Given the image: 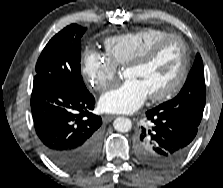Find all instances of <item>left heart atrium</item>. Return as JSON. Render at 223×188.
I'll list each match as a JSON object with an SVG mask.
<instances>
[{
    "label": "left heart atrium",
    "mask_w": 223,
    "mask_h": 188,
    "mask_svg": "<svg viewBox=\"0 0 223 188\" xmlns=\"http://www.w3.org/2000/svg\"><path fill=\"white\" fill-rule=\"evenodd\" d=\"M147 97V91L138 81L126 79L100 98L99 109L107 113H131L140 108Z\"/></svg>",
    "instance_id": "obj_1"
}]
</instances>
